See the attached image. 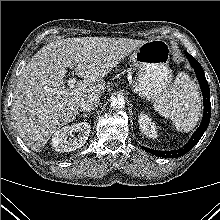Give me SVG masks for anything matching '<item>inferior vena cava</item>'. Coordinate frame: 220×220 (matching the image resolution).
<instances>
[{"label": "inferior vena cava", "instance_id": "obj_1", "mask_svg": "<svg viewBox=\"0 0 220 220\" xmlns=\"http://www.w3.org/2000/svg\"><path fill=\"white\" fill-rule=\"evenodd\" d=\"M100 102V97L97 94H92L81 100L79 107L81 111L89 112L95 110Z\"/></svg>", "mask_w": 220, "mask_h": 220}]
</instances>
